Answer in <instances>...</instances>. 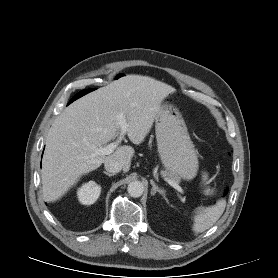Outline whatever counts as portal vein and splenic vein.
I'll list each match as a JSON object with an SVG mask.
<instances>
[{
	"label": "portal vein and splenic vein",
	"instance_id": "18ae733b",
	"mask_svg": "<svg viewBox=\"0 0 278 278\" xmlns=\"http://www.w3.org/2000/svg\"><path fill=\"white\" fill-rule=\"evenodd\" d=\"M118 123L120 126V135L117 138V140L113 143H110L109 145H107L105 147L95 148L94 156L109 155V154L113 153L114 150L117 148V146L122 142V140L124 139V135L126 134L127 129H128V124H127L126 119L123 114H119ZM165 180L181 194L185 193L184 190L176 182H174L168 178H165Z\"/></svg>",
	"mask_w": 278,
	"mask_h": 278
}]
</instances>
